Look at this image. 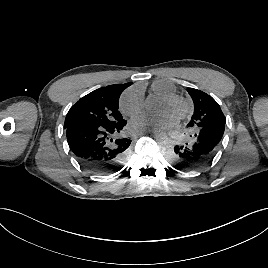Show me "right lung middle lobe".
Instances as JSON below:
<instances>
[{"label":"right lung middle lobe","mask_w":268,"mask_h":268,"mask_svg":"<svg viewBox=\"0 0 268 268\" xmlns=\"http://www.w3.org/2000/svg\"><path fill=\"white\" fill-rule=\"evenodd\" d=\"M121 92L101 87L82 97L68 111L64 128L75 123L111 126L123 120L119 108Z\"/></svg>","instance_id":"obj_1"}]
</instances>
